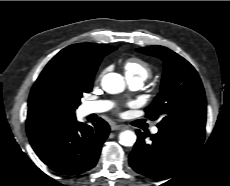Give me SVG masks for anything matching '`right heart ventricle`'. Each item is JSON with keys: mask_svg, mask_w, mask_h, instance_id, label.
<instances>
[{"mask_svg": "<svg viewBox=\"0 0 230 186\" xmlns=\"http://www.w3.org/2000/svg\"><path fill=\"white\" fill-rule=\"evenodd\" d=\"M124 70L127 77L140 78L146 80L152 72L151 66L138 57L128 58L124 62Z\"/></svg>", "mask_w": 230, "mask_h": 186, "instance_id": "obj_1", "label": "right heart ventricle"}]
</instances>
